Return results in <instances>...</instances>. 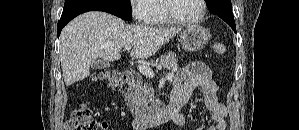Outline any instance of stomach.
<instances>
[{
  "label": "stomach",
  "mask_w": 299,
  "mask_h": 130,
  "mask_svg": "<svg viewBox=\"0 0 299 130\" xmlns=\"http://www.w3.org/2000/svg\"><path fill=\"white\" fill-rule=\"evenodd\" d=\"M209 39V32L198 25L188 26L180 35L182 48L189 52L201 50L208 43Z\"/></svg>",
  "instance_id": "obj_1"
}]
</instances>
